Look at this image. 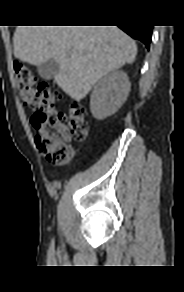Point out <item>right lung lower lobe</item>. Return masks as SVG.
Here are the masks:
<instances>
[{"mask_svg": "<svg viewBox=\"0 0 184 292\" xmlns=\"http://www.w3.org/2000/svg\"><path fill=\"white\" fill-rule=\"evenodd\" d=\"M123 31H125L132 38L140 40L145 44L147 48L150 46L152 27L148 25H123L119 26Z\"/></svg>", "mask_w": 184, "mask_h": 292, "instance_id": "1", "label": "right lung lower lobe"}]
</instances>
